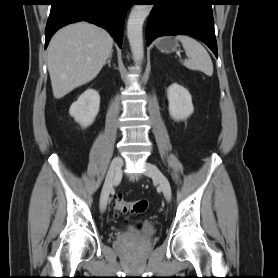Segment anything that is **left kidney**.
I'll use <instances>...</instances> for the list:
<instances>
[{
	"mask_svg": "<svg viewBox=\"0 0 278 278\" xmlns=\"http://www.w3.org/2000/svg\"><path fill=\"white\" fill-rule=\"evenodd\" d=\"M167 98L169 113L173 119L184 120L193 113L192 97L183 86L177 83L171 84L167 89Z\"/></svg>",
	"mask_w": 278,
	"mask_h": 278,
	"instance_id": "5707ae66",
	"label": "left kidney"
}]
</instances>
